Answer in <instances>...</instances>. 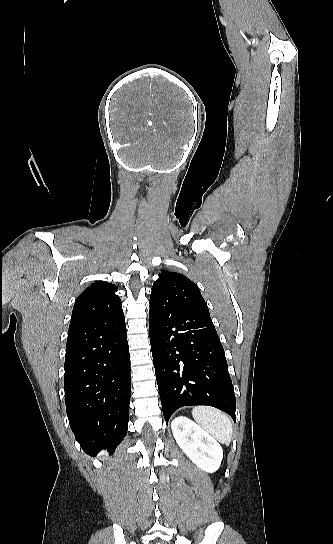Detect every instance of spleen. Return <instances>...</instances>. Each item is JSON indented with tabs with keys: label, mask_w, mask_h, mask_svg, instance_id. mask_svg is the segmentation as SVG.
Listing matches in <instances>:
<instances>
[{
	"label": "spleen",
	"mask_w": 333,
	"mask_h": 544,
	"mask_svg": "<svg viewBox=\"0 0 333 544\" xmlns=\"http://www.w3.org/2000/svg\"><path fill=\"white\" fill-rule=\"evenodd\" d=\"M194 420L219 442L229 445L233 435V426L229 417L210 406H196L192 409Z\"/></svg>",
	"instance_id": "obj_1"
}]
</instances>
